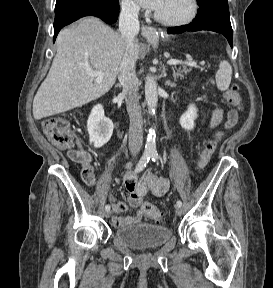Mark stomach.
<instances>
[{"mask_svg": "<svg viewBox=\"0 0 273 288\" xmlns=\"http://www.w3.org/2000/svg\"><path fill=\"white\" fill-rule=\"evenodd\" d=\"M154 46H157V43H153Z\"/></svg>", "mask_w": 273, "mask_h": 288, "instance_id": "1", "label": "stomach"}]
</instances>
